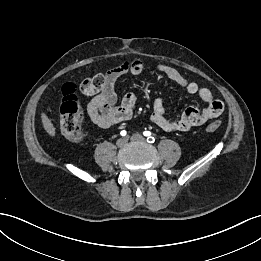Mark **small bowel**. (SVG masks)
Segmentation results:
<instances>
[{
  "label": "small bowel",
  "mask_w": 261,
  "mask_h": 261,
  "mask_svg": "<svg viewBox=\"0 0 261 261\" xmlns=\"http://www.w3.org/2000/svg\"><path fill=\"white\" fill-rule=\"evenodd\" d=\"M143 68L140 60L125 61L105 73V85L100 91L90 93L81 88L83 93L93 95L87 105V114L93 124L100 128H109L130 118L137 97L134 92H128L118 102L115 83L126 73L141 74ZM156 70L182 87L188 94L197 95L207 104L203 110L189 107L179 119L171 120L166 117L163 99L157 97L153 102L151 121L159 128L167 132H186L218 117L223 112V102L216 99L208 88L200 87L195 81L184 77L176 68L169 65L159 64Z\"/></svg>",
  "instance_id": "obj_1"
}]
</instances>
